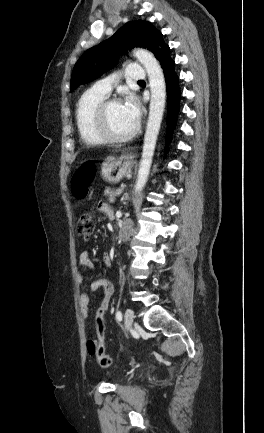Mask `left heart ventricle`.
Instances as JSON below:
<instances>
[{"instance_id":"b2bd125f","label":"left heart ventricle","mask_w":264,"mask_h":433,"mask_svg":"<svg viewBox=\"0 0 264 433\" xmlns=\"http://www.w3.org/2000/svg\"><path fill=\"white\" fill-rule=\"evenodd\" d=\"M107 121L110 130L117 135L128 133L136 124L122 103L114 104L108 108Z\"/></svg>"}]
</instances>
